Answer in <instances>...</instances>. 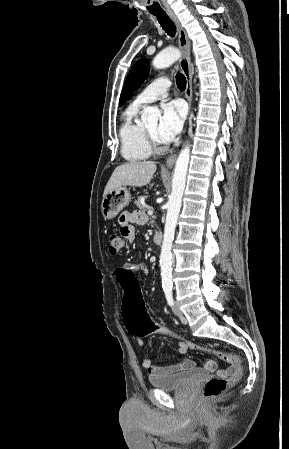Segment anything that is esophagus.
<instances>
[{"instance_id":"1","label":"esophagus","mask_w":289,"mask_h":449,"mask_svg":"<svg viewBox=\"0 0 289 449\" xmlns=\"http://www.w3.org/2000/svg\"><path fill=\"white\" fill-rule=\"evenodd\" d=\"M169 17L173 20V22L177 26L178 30V43L179 48L182 52V56L180 58L179 64L181 70L186 78L187 84L185 89V98L188 102L189 109L191 108L192 102V65L190 60V41L188 39L187 33L177 16L173 12L168 13ZM177 154L171 155L166 161V167L171 168L176 161Z\"/></svg>"}]
</instances>
